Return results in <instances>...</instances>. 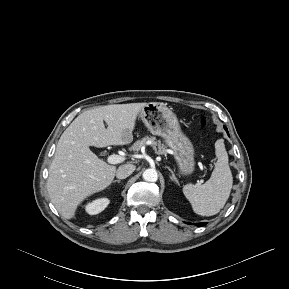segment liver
I'll return each mask as SVG.
<instances>
[{"label": "liver", "mask_w": 289, "mask_h": 289, "mask_svg": "<svg viewBox=\"0 0 289 289\" xmlns=\"http://www.w3.org/2000/svg\"><path fill=\"white\" fill-rule=\"evenodd\" d=\"M146 105L116 104L87 110L63 132L47 179L50 200L61 216L73 218L84 199L111 184L116 166L99 159L89 147L131 143L137 116Z\"/></svg>", "instance_id": "1"}]
</instances>
